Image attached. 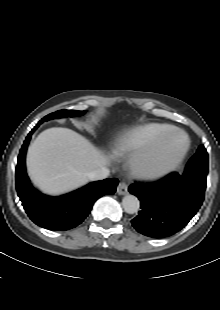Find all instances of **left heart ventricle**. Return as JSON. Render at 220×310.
<instances>
[{"mask_svg": "<svg viewBox=\"0 0 220 310\" xmlns=\"http://www.w3.org/2000/svg\"><path fill=\"white\" fill-rule=\"evenodd\" d=\"M182 144V139L180 136L172 137L163 147L161 150L156 163L157 164H164L172 160L177 152L179 151Z\"/></svg>", "mask_w": 220, "mask_h": 310, "instance_id": "left-heart-ventricle-1", "label": "left heart ventricle"}]
</instances>
